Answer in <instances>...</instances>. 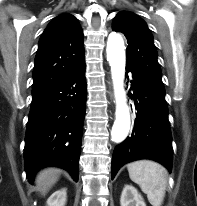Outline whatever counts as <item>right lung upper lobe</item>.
Segmentation results:
<instances>
[{
  "mask_svg": "<svg viewBox=\"0 0 197 206\" xmlns=\"http://www.w3.org/2000/svg\"><path fill=\"white\" fill-rule=\"evenodd\" d=\"M83 31L71 14L55 17L43 32L35 57L32 94L58 84L85 63Z\"/></svg>",
  "mask_w": 197,
  "mask_h": 206,
  "instance_id": "right-lung-upper-lobe-1",
  "label": "right lung upper lobe"
}]
</instances>
